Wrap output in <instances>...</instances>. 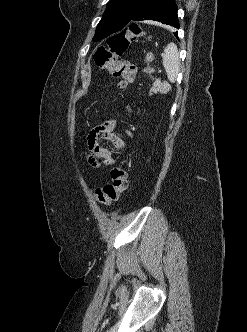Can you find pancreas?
Here are the masks:
<instances>
[{
  "label": "pancreas",
  "instance_id": "1",
  "mask_svg": "<svg viewBox=\"0 0 247 332\" xmlns=\"http://www.w3.org/2000/svg\"><path fill=\"white\" fill-rule=\"evenodd\" d=\"M159 86H160V85H159V81H158V80L155 81L153 87H152L151 90H150V94L156 92L157 89L159 88Z\"/></svg>",
  "mask_w": 247,
  "mask_h": 332
}]
</instances>
